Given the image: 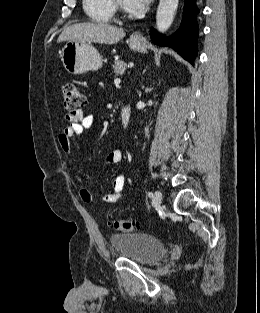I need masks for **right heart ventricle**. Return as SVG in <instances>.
<instances>
[{"instance_id": "1", "label": "right heart ventricle", "mask_w": 260, "mask_h": 313, "mask_svg": "<svg viewBox=\"0 0 260 313\" xmlns=\"http://www.w3.org/2000/svg\"><path fill=\"white\" fill-rule=\"evenodd\" d=\"M83 8L88 17L95 22L108 23L114 15L111 0H83Z\"/></svg>"}]
</instances>
